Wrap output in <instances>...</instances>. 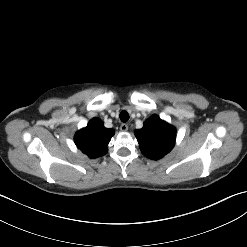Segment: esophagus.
<instances>
[{
  "label": "esophagus",
  "instance_id": "34e87169",
  "mask_svg": "<svg viewBox=\"0 0 247 247\" xmlns=\"http://www.w3.org/2000/svg\"><path fill=\"white\" fill-rule=\"evenodd\" d=\"M120 130H121V131H127V130H128V125H127L126 123H122V124L120 125Z\"/></svg>",
  "mask_w": 247,
  "mask_h": 247
}]
</instances>
